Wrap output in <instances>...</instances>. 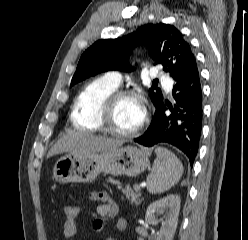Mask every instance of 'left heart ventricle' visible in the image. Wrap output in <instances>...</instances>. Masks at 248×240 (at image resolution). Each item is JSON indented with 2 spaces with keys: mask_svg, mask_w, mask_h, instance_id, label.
<instances>
[{
  "mask_svg": "<svg viewBox=\"0 0 248 240\" xmlns=\"http://www.w3.org/2000/svg\"><path fill=\"white\" fill-rule=\"evenodd\" d=\"M141 103L133 97L120 99L111 112V125L122 132H128L135 129L139 124L137 115Z\"/></svg>",
  "mask_w": 248,
  "mask_h": 240,
  "instance_id": "obj_1",
  "label": "left heart ventricle"
}]
</instances>
